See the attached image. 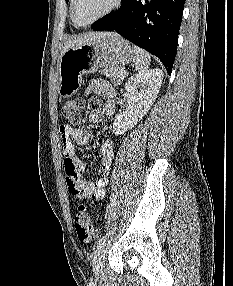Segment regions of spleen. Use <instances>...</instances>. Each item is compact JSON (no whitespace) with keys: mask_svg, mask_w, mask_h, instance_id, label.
I'll return each mask as SVG.
<instances>
[{"mask_svg":"<svg viewBox=\"0 0 233 286\" xmlns=\"http://www.w3.org/2000/svg\"><path fill=\"white\" fill-rule=\"evenodd\" d=\"M132 47H133L134 53L136 55L135 69L138 72H143L150 65L151 55L147 51H145L144 49H142L136 45H133Z\"/></svg>","mask_w":233,"mask_h":286,"instance_id":"3e777b00","label":"spleen"}]
</instances>
